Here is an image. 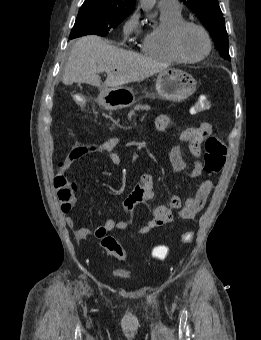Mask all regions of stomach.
<instances>
[{"mask_svg": "<svg viewBox=\"0 0 261 340\" xmlns=\"http://www.w3.org/2000/svg\"><path fill=\"white\" fill-rule=\"evenodd\" d=\"M194 77L182 70L169 68L161 71L156 80V92L161 99L181 102L196 91ZM137 101L133 88L119 86L103 88L99 94V104L107 110L129 107Z\"/></svg>", "mask_w": 261, "mask_h": 340, "instance_id": "0dacf381", "label": "stomach"}]
</instances>
